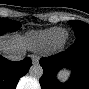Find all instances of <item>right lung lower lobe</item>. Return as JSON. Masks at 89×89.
I'll list each match as a JSON object with an SVG mask.
<instances>
[{
	"instance_id": "right-lung-lower-lobe-1",
	"label": "right lung lower lobe",
	"mask_w": 89,
	"mask_h": 89,
	"mask_svg": "<svg viewBox=\"0 0 89 89\" xmlns=\"http://www.w3.org/2000/svg\"><path fill=\"white\" fill-rule=\"evenodd\" d=\"M31 59L26 57L22 61L13 62L0 56V86L1 89H15L19 79L31 67Z\"/></svg>"
}]
</instances>
